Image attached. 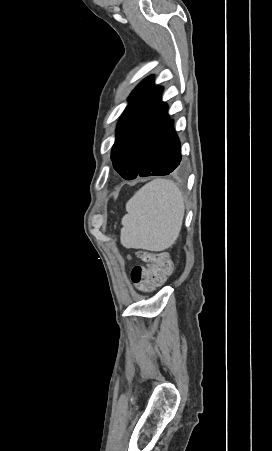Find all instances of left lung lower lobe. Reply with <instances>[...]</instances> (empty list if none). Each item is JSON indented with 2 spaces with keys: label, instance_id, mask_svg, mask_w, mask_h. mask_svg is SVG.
Segmentation results:
<instances>
[{
  "label": "left lung lower lobe",
  "instance_id": "0a47b994",
  "mask_svg": "<svg viewBox=\"0 0 272 451\" xmlns=\"http://www.w3.org/2000/svg\"><path fill=\"white\" fill-rule=\"evenodd\" d=\"M167 111L156 129L137 176L169 175L181 163L180 141Z\"/></svg>",
  "mask_w": 272,
  "mask_h": 451
}]
</instances>
